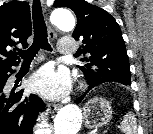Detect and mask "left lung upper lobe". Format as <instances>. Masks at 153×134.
Segmentation results:
<instances>
[{
    "label": "left lung upper lobe",
    "instance_id": "1",
    "mask_svg": "<svg viewBox=\"0 0 153 134\" xmlns=\"http://www.w3.org/2000/svg\"><path fill=\"white\" fill-rule=\"evenodd\" d=\"M55 7H67L77 16L73 37L83 38V58L88 63L78 66L89 86L107 82L130 85L129 60L119 25L104 9L85 0H56ZM95 86V87H96Z\"/></svg>",
    "mask_w": 153,
    "mask_h": 134
}]
</instances>
